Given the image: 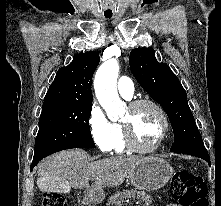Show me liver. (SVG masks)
Here are the masks:
<instances>
[{"mask_svg": "<svg viewBox=\"0 0 221 206\" xmlns=\"http://www.w3.org/2000/svg\"><path fill=\"white\" fill-rule=\"evenodd\" d=\"M142 159L116 156L89 162L82 149L62 151L39 164L37 186L42 192L52 191V187L60 182L68 192L71 187L90 189L89 181L93 180L92 187H116Z\"/></svg>", "mask_w": 221, "mask_h": 206, "instance_id": "1", "label": "liver"}]
</instances>
